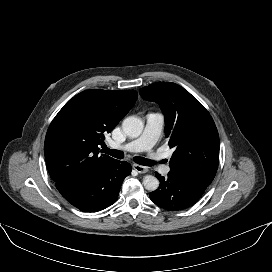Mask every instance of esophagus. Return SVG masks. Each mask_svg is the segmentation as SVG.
<instances>
[{
	"instance_id": "1",
	"label": "esophagus",
	"mask_w": 272,
	"mask_h": 272,
	"mask_svg": "<svg viewBox=\"0 0 272 272\" xmlns=\"http://www.w3.org/2000/svg\"><path fill=\"white\" fill-rule=\"evenodd\" d=\"M133 168L140 174L146 173L148 168L142 165L133 164Z\"/></svg>"
}]
</instances>
